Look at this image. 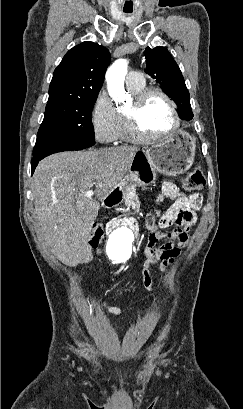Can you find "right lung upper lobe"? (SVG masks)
<instances>
[{"instance_id": "1", "label": "right lung upper lobe", "mask_w": 243, "mask_h": 409, "mask_svg": "<svg viewBox=\"0 0 243 409\" xmlns=\"http://www.w3.org/2000/svg\"><path fill=\"white\" fill-rule=\"evenodd\" d=\"M109 64L107 48L93 42L76 45L54 71L48 102L96 99Z\"/></svg>"}]
</instances>
